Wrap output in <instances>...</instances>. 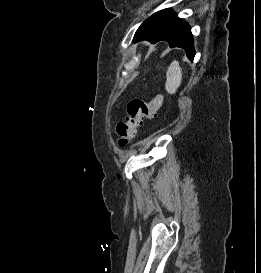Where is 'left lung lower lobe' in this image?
<instances>
[{"label": "left lung lower lobe", "mask_w": 261, "mask_h": 273, "mask_svg": "<svg viewBox=\"0 0 261 273\" xmlns=\"http://www.w3.org/2000/svg\"><path fill=\"white\" fill-rule=\"evenodd\" d=\"M149 40L156 43L165 40L170 47H180L193 60L195 51L190 26L171 9L161 10L146 19L134 35V41Z\"/></svg>", "instance_id": "0a47b994"}]
</instances>
